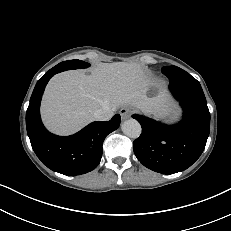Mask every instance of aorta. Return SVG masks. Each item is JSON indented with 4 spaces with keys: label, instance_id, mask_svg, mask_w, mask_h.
Here are the masks:
<instances>
[{
    "label": "aorta",
    "instance_id": "1",
    "mask_svg": "<svg viewBox=\"0 0 231 231\" xmlns=\"http://www.w3.org/2000/svg\"><path fill=\"white\" fill-rule=\"evenodd\" d=\"M122 131L130 138H138L142 132L140 123L135 119H128L122 124Z\"/></svg>",
    "mask_w": 231,
    "mask_h": 231
}]
</instances>
